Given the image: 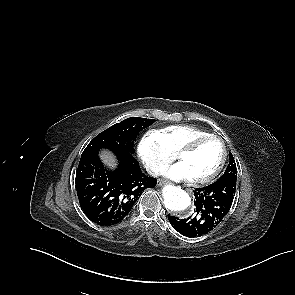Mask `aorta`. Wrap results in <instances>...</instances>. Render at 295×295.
Here are the masks:
<instances>
[{"mask_svg": "<svg viewBox=\"0 0 295 295\" xmlns=\"http://www.w3.org/2000/svg\"><path fill=\"white\" fill-rule=\"evenodd\" d=\"M165 208L169 211L182 213L191 205V198L186 191L175 185H166L162 190Z\"/></svg>", "mask_w": 295, "mask_h": 295, "instance_id": "762f6f07", "label": "aorta"}]
</instances>
